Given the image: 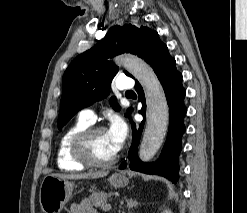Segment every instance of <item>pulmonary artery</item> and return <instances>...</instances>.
Segmentation results:
<instances>
[{
	"label": "pulmonary artery",
	"mask_w": 247,
	"mask_h": 213,
	"mask_svg": "<svg viewBox=\"0 0 247 213\" xmlns=\"http://www.w3.org/2000/svg\"><path fill=\"white\" fill-rule=\"evenodd\" d=\"M118 83V89L121 92H127L133 88V80L129 77H119ZM79 118L86 122L94 123L96 120V114L92 109H84L80 111Z\"/></svg>",
	"instance_id": "pulmonary-artery-1"
}]
</instances>
